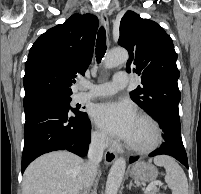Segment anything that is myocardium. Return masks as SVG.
<instances>
[{"instance_id": "1", "label": "myocardium", "mask_w": 201, "mask_h": 194, "mask_svg": "<svg viewBox=\"0 0 201 194\" xmlns=\"http://www.w3.org/2000/svg\"><path fill=\"white\" fill-rule=\"evenodd\" d=\"M137 118L147 122L152 127L154 132V140L148 146H137L127 142L126 147L128 148V150L138 154L151 153L155 151L162 144L163 135H162L161 127L158 124V122L148 114L140 113L137 115Z\"/></svg>"}]
</instances>
